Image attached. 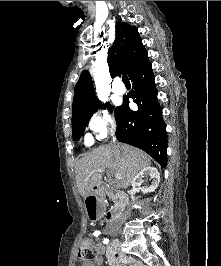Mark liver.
Listing matches in <instances>:
<instances>
[{
    "mask_svg": "<svg viewBox=\"0 0 221 266\" xmlns=\"http://www.w3.org/2000/svg\"><path fill=\"white\" fill-rule=\"evenodd\" d=\"M151 165L150 157L140 149L130 145L108 144L100 146L85 154L76 164V184L83 198L89 197L92 191L102 180L101 173H91L97 168H108L110 173H119L121 179L118 186L128 188L138 172Z\"/></svg>",
    "mask_w": 221,
    "mask_h": 266,
    "instance_id": "6515ba94",
    "label": "liver"
}]
</instances>
